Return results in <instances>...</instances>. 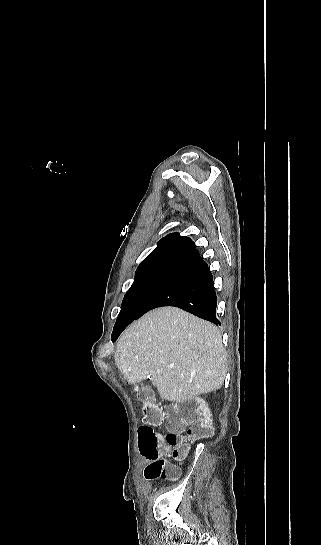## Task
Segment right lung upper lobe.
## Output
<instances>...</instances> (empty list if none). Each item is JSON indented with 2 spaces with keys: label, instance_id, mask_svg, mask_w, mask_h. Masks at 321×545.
<instances>
[{
  "label": "right lung upper lobe",
  "instance_id": "cb5924a9",
  "mask_svg": "<svg viewBox=\"0 0 321 545\" xmlns=\"http://www.w3.org/2000/svg\"><path fill=\"white\" fill-rule=\"evenodd\" d=\"M199 255L194 242L179 233L162 238L157 247L141 262L138 269L168 267L178 269Z\"/></svg>",
  "mask_w": 321,
  "mask_h": 545
}]
</instances>
